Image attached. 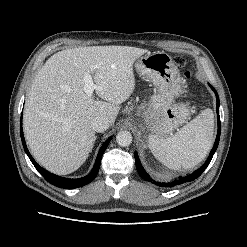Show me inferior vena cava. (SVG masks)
I'll return each instance as SVG.
<instances>
[{"label": "inferior vena cava", "instance_id": "1", "mask_svg": "<svg viewBox=\"0 0 247 247\" xmlns=\"http://www.w3.org/2000/svg\"><path fill=\"white\" fill-rule=\"evenodd\" d=\"M92 129L96 132H104L109 128V122L106 118L97 116L91 122Z\"/></svg>", "mask_w": 247, "mask_h": 247}]
</instances>
